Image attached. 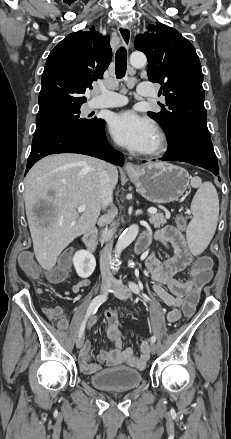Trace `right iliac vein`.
Returning a JSON list of instances; mask_svg holds the SVG:
<instances>
[{"label":"right iliac vein","mask_w":231,"mask_h":439,"mask_svg":"<svg viewBox=\"0 0 231 439\" xmlns=\"http://www.w3.org/2000/svg\"><path fill=\"white\" fill-rule=\"evenodd\" d=\"M110 289H111V285L103 284L101 286V289H100V294L101 295H106ZM83 342H84V336L82 335L81 337L78 338V340L76 342V347L78 349H80L83 346Z\"/></svg>","instance_id":"1"}]
</instances>
